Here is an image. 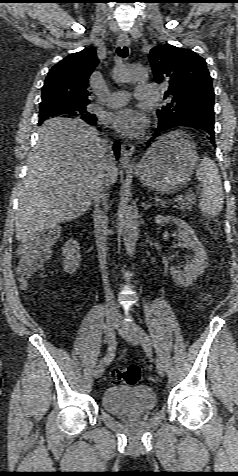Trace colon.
<instances>
[{
    "label": "colon",
    "instance_id": "colon-1",
    "mask_svg": "<svg viewBox=\"0 0 238 476\" xmlns=\"http://www.w3.org/2000/svg\"><path fill=\"white\" fill-rule=\"evenodd\" d=\"M209 231L215 233L217 226L215 222L209 225ZM57 237V232H51L45 241L35 239L23 243L19 247V261L17 272L19 279L25 283L35 271L41 267L45 258L49 253V243L54 241ZM141 377V370L136 365H130L123 368L114 369L111 373V381L114 384L134 385Z\"/></svg>",
    "mask_w": 238,
    "mask_h": 476
}]
</instances>
